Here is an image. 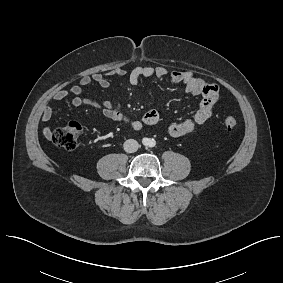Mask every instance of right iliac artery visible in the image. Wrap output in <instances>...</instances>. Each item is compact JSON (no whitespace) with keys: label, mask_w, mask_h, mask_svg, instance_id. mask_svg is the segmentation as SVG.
<instances>
[{"label":"right iliac artery","mask_w":283,"mask_h":283,"mask_svg":"<svg viewBox=\"0 0 283 283\" xmlns=\"http://www.w3.org/2000/svg\"><path fill=\"white\" fill-rule=\"evenodd\" d=\"M142 142H143L144 144H147V143H148V139H147V138H143Z\"/></svg>","instance_id":"1"}]
</instances>
